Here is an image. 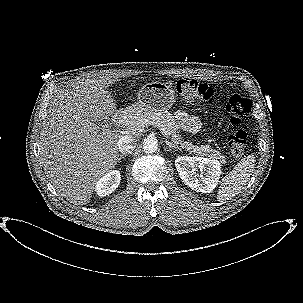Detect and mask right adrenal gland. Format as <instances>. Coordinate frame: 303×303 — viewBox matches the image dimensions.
Here are the masks:
<instances>
[{
	"mask_svg": "<svg viewBox=\"0 0 303 303\" xmlns=\"http://www.w3.org/2000/svg\"><path fill=\"white\" fill-rule=\"evenodd\" d=\"M126 156H127V154L120 155L119 158H118V161H120L121 159L125 158Z\"/></svg>",
	"mask_w": 303,
	"mask_h": 303,
	"instance_id": "1",
	"label": "right adrenal gland"
}]
</instances>
